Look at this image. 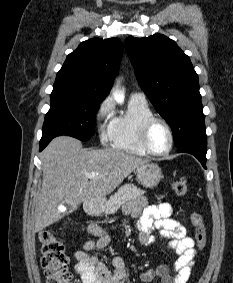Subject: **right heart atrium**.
Here are the masks:
<instances>
[{"instance_id":"right-heart-atrium-1","label":"right heart atrium","mask_w":233,"mask_h":283,"mask_svg":"<svg viewBox=\"0 0 233 283\" xmlns=\"http://www.w3.org/2000/svg\"><path fill=\"white\" fill-rule=\"evenodd\" d=\"M114 117V105L110 98L103 99L95 112V123L98 129L99 140L107 144L111 140V126Z\"/></svg>"}]
</instances>
